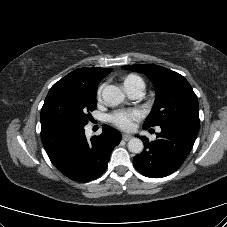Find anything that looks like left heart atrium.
<instances>
[{"mask_svg":"<svg viewBox=\"0 0 227 227\" xmlns=\"http://www.w3.org/2000/svg\"><path fill=\"white\" fill-rule=\"evenodd\" d=\"M140 117L141 113L138 110H121L112 113L109 116V120L122 129H130L134 121L138 120Z\"/></svg>","mask_w":227,"mask_h":227,"instance_id":"39dd6f15","label":"left heart atrium"}]
</instances>
